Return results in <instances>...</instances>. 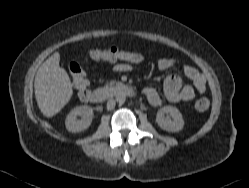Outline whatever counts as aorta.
Masks as SVG:
<instances>
[{"label":"aorta","mask_w":249,"mask_h":188,"mask_svg":"<svg viewBox=\"0 0 249 188\" xmlns=\"http://www.w3.org/2000/svg\"><path fill=\"white\" fill-rule=\"evenodd\" d=\"M116 101L119 103V104H123L125 103L126 101V95L124 93H118L116 95Z\"/></svg>","instance_id":"1"}]
</instances>
